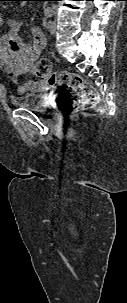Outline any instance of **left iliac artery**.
<instances>
[{
	"label": "left iliac artery",
	"instance_id": "44dca946",
	"mask_svg": "<svg viewBox=\"0 0 127 303\" xmlns=\"http://www.w3.org/2000/svg\"><path fill=\"white\" fill-rule=\"evenodd\" d=\"M44 15L47 17H51L53 15V10L50 7L45 8Z\"/></svg>",
	"mask_w": 127,
	"mask_h": 303
}]
</instances>
